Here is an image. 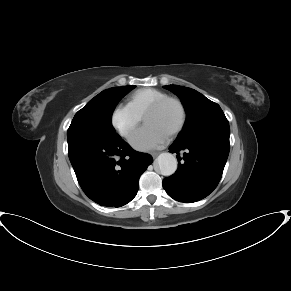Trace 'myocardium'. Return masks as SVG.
<instances>
[{
    "label": "myocardium",
    "mask_w": 291,
    "mask_h": 291,
    "mask_svg": "<svg viewBox=\"0 0 291 291\" xmlns=\"http://www.w3.org/2000/svg\"><path fill=\"white\" fill-rule=\"evenodd\" d=\"M168 103H174L178 107L179 112H180L179 122L169 134L170 136H175V135L179 134L184 129V127L186 125V121H187L186 108H185L184 104L182 103V101L179 100L178 98L167 96V97H164V98L157 100L156 102L152 103L151 105H149L146 108V110L144 111V113L142 115V119H143V121H145V118L148 114L154 113V112L162 109Z\"/></svg>",
    "instance_id": "1"
}]
</instances>
